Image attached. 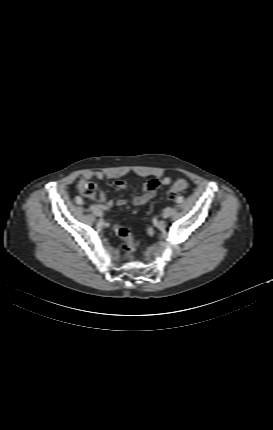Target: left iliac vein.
<instances>
[{"instance_id":"left-iliac-vein-1","label":"left iliac vein","mask_w":273,"mask_h":430,"mask_svg":"<svg viewBox=\"0 0 273 430\" xmlns=\"http://www.w3.org/2000/svg\"><path fill=\"white\" fill-rule=\"evenodd\" d=\"M172 211H173V209L170 208V207L165 208L164 211H163V213H162V217L163 218H168L172 214Z\"/></svg>"}]
</instances>
